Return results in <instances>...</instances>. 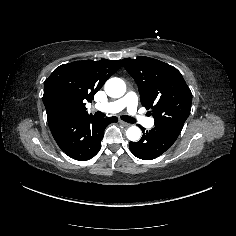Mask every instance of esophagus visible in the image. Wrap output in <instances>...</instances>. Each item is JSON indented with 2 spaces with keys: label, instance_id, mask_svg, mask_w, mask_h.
I'll use <instances>...</instances> for the list:
<instances>
[{
  "label": "esophagus",
  "instance_id": "34e87169",
  "mask_svg": "<svg viewBox=\"0 0 236 236\" xmlns=\"http://www.w3.org/2000/svg\"><path fill=\"white\" fill-rule=\"evenodd\" d=\"M119 123L122 124V125L125 126V127L130 126L129 123H126V122H124V121H122V120H119Z\"/></svg>",
  "mask_w": 236,
  "mask_h": 236
}]
</instances>
